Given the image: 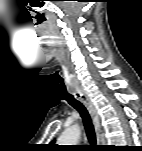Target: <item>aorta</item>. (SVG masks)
I'll return each mask as SVG.
<instances>
[{
  "label": "aorta",
  "mask_w": 142,
  "mask_h": 151,
  "mask_svg": "<svg viewBox=\"0 0 142 151\" xmlns=\"http://www.w3.org/2000/svg\"><path fill=\"white\" fill-rule=\"evenodd\" d=\"M81 130L79 126L73 125L65 129L58 138L59 145H76L80 138Z\"/></svg>",
  "instance_id": "762f6f07"
}]
</instances>
